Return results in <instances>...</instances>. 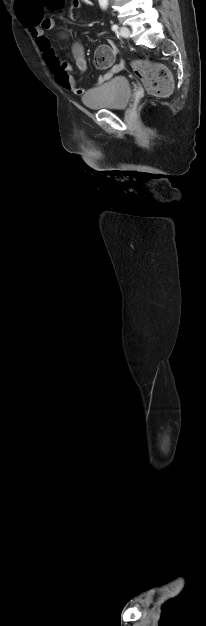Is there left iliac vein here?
I'll return each instance as SVG.
<instances>
[{"label":"left iliac vein","instance_id":"obj_1","mask_svg":"<svg viewBox=\"0 0 206 626\" xmlns=\"http://www.w3.org/2000/svg\"><path fill=\"white\" fill-rule=\"evenodd\" d=\"M120 35L124 38H129L130 36V30L128 27L122 26L120 28Z\"/></svg>","mask_w":206,"mask_h":626}]
</instances>
